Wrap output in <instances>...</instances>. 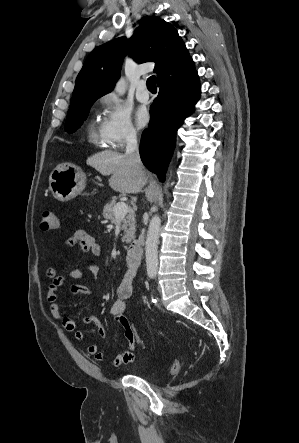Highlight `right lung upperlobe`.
<instances>
[{
    "mask_svg": "<svg viewBox=\"0 0 299 443\" xmlns=\"http://www.w3.org/2000/svg\"><path fill=\"white\" fill-rule=\"evenodd\" d=\"M127 53L138 63L155 62L158 82L184 76L194 68L174 26L159 17L146 16L130 40L120 37L90 53L77 76L70 108L111 92Z\"/></svg>",
    "mask_w": 299,
    "mask_h": 443,
    "instance_id": "right-lung-upper-lobe-1",
    "label": "right lung upper lobe"
}]
</instances>
